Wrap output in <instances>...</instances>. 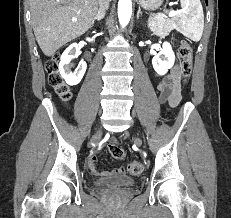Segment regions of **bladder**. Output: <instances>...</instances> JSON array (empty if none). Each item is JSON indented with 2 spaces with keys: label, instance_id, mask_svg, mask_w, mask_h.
Returning a JSON list of instances; mask_svg holds the SVG:
<instances>
[{
  "label": "bladder",
  "instance_id": "31cf9c89",
  "mask_svg": "<svg viewBox=\"0 0 231 218\" xmlns=\"http://www.w3.org/2000/svg\"><path fill=\"white\" fill-rule=\"evenodd\" d=\"M94 184L98 188L131 189L136 185V180L128 176H121L98 179Z\"/></svg>",
  "mask_w": 231,
  "mask_h": 218
}]
</instances>
